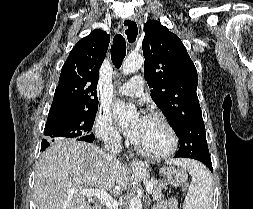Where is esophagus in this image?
<instances>
[{
  "label": "esophagus",
  "mask_w": 253,
  "mask_h": 209,
  "mask_svg": "<svg viewBox=\"0 0 253 209\" xmlns=\"http://www.w3.org/2000/svg\"><path fill=\"white\" fill-rule=\"evenodd\" d=\"M123 33L127 38L128 44L132 45L137 41L139 35V28L135 18H124L122 20ZM128 24L130 27H128ZM137 26V27H136ZM141 162L139 160H133L131 165H139Z\"/></svg>",
  "instance_id": "esophagus-1"
}]
</instances>
